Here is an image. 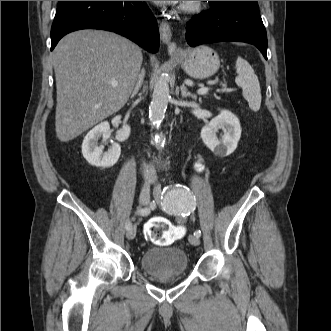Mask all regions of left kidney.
<instances>
[{"label": "left kidney", "instance_id": "1", "mask_svg": "<svg viewBox=\"0 0 331 331\" xmlns=\"http://www.w3.org/2000/svg\"><path fill=\"white\" fill-rule=\"evenodd\" d=\"M218 130L223 131L221 138L217 137ZM240 137V121L227 110H221L219 115L201 130V138L205 145L220 157L233 153L237 148Z\"/></svg>", "mask_w": 331, "mask_h": 331}]
</instances>
